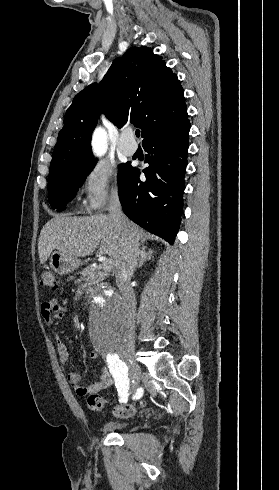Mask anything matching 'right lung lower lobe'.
I'll return each mask as SVG.
<instances>
[{"label": "right lung lower lobe", "instance_id": "obj_1", "mask_svg": "<svg viewBox=\"0 0 279 490\" xmlns=\"http://www.w3.org/2000/svg\"><path fill=\"white\" fill-rule=\"evenodd\" d=\"M190 122L143 141L148 153L143 170L130 168L119 185L123 211L132 221L173 243L179 230L185 189Z\"/></svg>", "mask_w": 279, "mask_h": 490}]
</instances>
